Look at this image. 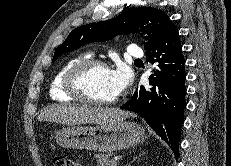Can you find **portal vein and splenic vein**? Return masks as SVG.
Wrapping results in <instances>:
<instances>
[{
    "instance_id": "obj_1",
    "label": "portal vein and splenic vein",
    "mask_w": 231,
    "mask_h": 166,
    "mask_svg": "<svg viewBox=\"0 0 231 166\" xmlns=\"http://www.w3.org/2000/svg\"><path fill=\"white\" fill-rule=\"evenodd\" d=\"M119 157H114L113 162L117 163L119 161Z\"/></svg>"
}]
</instances>
